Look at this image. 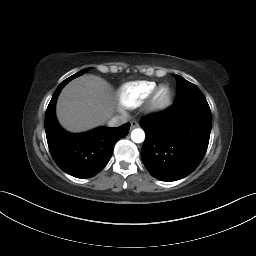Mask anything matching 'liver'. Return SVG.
I'll return each instance as SVG.
<instances>
[{
  "instance_id": "1",
  "label": "liver",
  "mask_w": 256,
  "mask_h": 256,
  "mask_svg": "<svg viewBox=\"0 0 256 256\" xmlns=\"http://www.w3.org/2000/svg\"><path fill=\"white\" fill-rule=\"evenodd\" d=\"M114 111L113 92L108 82L83 75L62 90L56 107L60 124L68 131L82 132L104 124Z\"/></svg>"
}]
</instances>
